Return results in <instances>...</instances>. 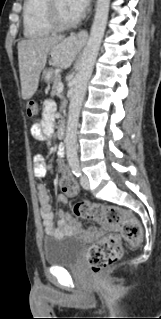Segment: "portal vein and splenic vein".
Masks as SVG:
<instances>
[{"label":"portal vein and splenic vein","mask_w":161,"mask_h":319,"mask_svg":"<svg viewBox=\"0 0 161 319\" xmlns=\"http://www.w3.org/2000/svg\"><path fill=\"white\" fill-rule=\"evenodd\" d=\"M64 85L63 83H60L58 86V92L61 93L63 91Z\"/></svg>","instance_id":"obj_1"}]
</instances>
